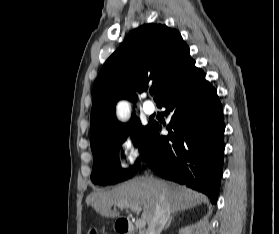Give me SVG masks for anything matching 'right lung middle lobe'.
I'll use <instances>...</instances> for the list:
<instances>
[{
    "label": "right lung middle lobe",
    "instance_id": "dd1d6c3e",
    "mask_svg": "<svg viewBox=\"0 0 279 234\" xmlns=\"http://www.w3.org/2000/svg\"><path fill=\"white\" fill-rule=\"evenodd\" d=\"M150 131L151 123L142 126L139 119L134 116L129 123L92 144L94 163L91 180L99 185H111L132 177L138 170L139 163L146 151ZM128 135L139 147L141 155L130 170H125L119 164V148Z\"/></svg>",
    "mask_w": 279,
    "mask_h": 234
}]
</instances>
